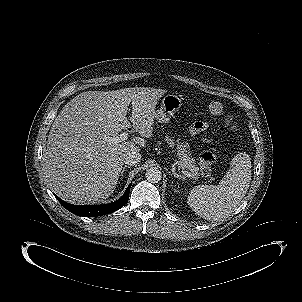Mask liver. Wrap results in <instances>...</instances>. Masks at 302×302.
<instances>
[{
  "label": "liver",
  "mask_w": 302,
  "mask_h": 302,
  "mask_svg": "<svg viewBox=\"0 0 302 302\" xmlns=\"http://www.w3.org/2000/svg\"><path fill=\"white\" fill-rule=\"evenodd\" d=\"M165 92L137 87L86 91L70 100L55 118L44 152L43 171L54 193L73 204L108 198L116 188L125 154L139 152L146 144L140 137L117 144H109L108 139L131 126L141 137L150 138L156 99Z\"/></svg>",
  "instance_id": "6515ba94"
}]
</instances>
